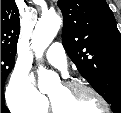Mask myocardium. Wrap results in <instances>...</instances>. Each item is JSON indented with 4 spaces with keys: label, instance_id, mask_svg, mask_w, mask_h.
Listing matches in <instances>:
<instances>
[{
    "label": "myocardium",
    "instance_id": "1",
    "mask_svg": "<svg viewBox=\"0 0 121 113\" xmlns=\"http://www.w3.org/2000/svg\"><path fill=\"white\" fill-rule=\"evenodd\" d=\"M65 89H67L68 91H75V92H89L91 94H93L104 106V112L103 113H109L110 112V105L108 103V101L106 100V98L101 95L97 90H95L94 88H92L91 86H88L86 84L83 83H79V82H73V81H69V82H64L61 84ZM49 105H50V109L52 111V113H60L54 102L52 101V99L49 97Z\"/></svg>",
    "mask_w": 121,
    "mask_h": 113
}]
</instances>
